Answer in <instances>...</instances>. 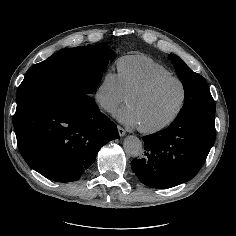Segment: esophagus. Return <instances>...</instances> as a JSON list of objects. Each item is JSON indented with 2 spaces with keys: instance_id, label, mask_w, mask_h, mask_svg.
Listing matches in <instances>:
<instances>
[{
  "instance_id": "esophagus-1",
  "label": "esophagus",
  "mask_w": 236,
  "mask_h": 236,
  "mask_svg": "<svg viewBox=\"0 0 236 236\" xmlns=\"http://www.w3.org/2000/svg\"><path fill=\"white\" fill-rule=\"evenodd\" d=\"M118 132L120 136H124L126 134V131L120 126H117Z\"/></svg>"
}]
</instances>
